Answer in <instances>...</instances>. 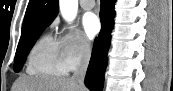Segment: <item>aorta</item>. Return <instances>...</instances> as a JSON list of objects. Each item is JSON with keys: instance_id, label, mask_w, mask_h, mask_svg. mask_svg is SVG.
<instances>
[{"instance_id": "762f6f07", "label": "aorta", "mask_w": 173, "mask_h": 91, "mask_svg": "<svg viewBox=\"0 0 173 91\" xmlns=\"http://www.w3.org/2000/svg\"><path fill=\"white\" fill-rule=\"evenodd\" d=\"M59 7L62 16L66 20H73L78 10V0H59Z\"/></svg>"}]
</instances>
